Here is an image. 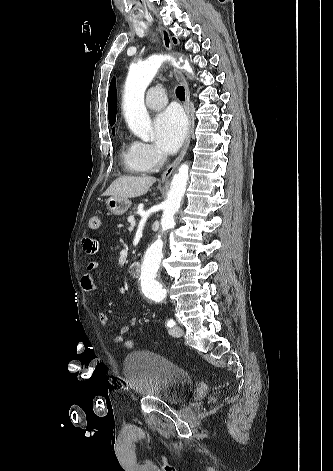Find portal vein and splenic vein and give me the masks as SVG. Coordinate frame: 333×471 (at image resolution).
Instances as JSON below:
<instances>
[{"mask_svg":"<svg viewBox=\"0 0 333 471\" xmlns=\"http://www.w3.org/2000/svg\"><path fill=\"white\" fill-rule=\"evenodd\" d=\"M128 222H129L130 224H132V225L135 224V218H134V216L128 217Z\"/></svg>","mask_w":333,"mask_h":471,"instance_id":"obj_1","label":"portal vein and splenic vein"}]
</instances>
